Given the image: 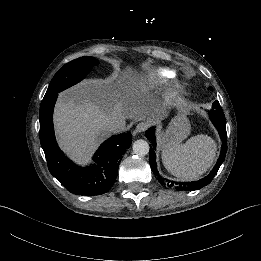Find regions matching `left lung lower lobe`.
<instances>
[{
  "label": "left lung lower lobe",
  "instance_id": "left-lung-lower-lobe-1",
  "mask_svg": "<svg viewBox=\"0 0 261 261\" xmlns=\"http://www.w3.org/2000/svg\"><path fill=\"white\" fill-rule=\"evenodd\" d=\"M209 117L212 123L215 125L217 128L219 135L225 140L227 138L226 134V119L224 112L219 104L218 101H215L212 104V109L209 111ZM146 137L148 140L151 141L150 145V153H149V163L151 166L152 171L154 174L157 176L160 182H168V185L170 183V186L177 185L180 189L182 190H187V191H193L197 189H201L204 186H207L214 178L216 173L218 172L219 167L223 163L225 159V154L227 152V144L223 141L222 147H221V152H220V157L217 160L216 165L212 169V171L209 173L208 176H206L203 179H200L196 182H174V181H169L165 178H163L158 170H157V164H156V138H155V127H152L148 129L145 132Z\"/></svg>",
  "mask_w": 261,
  "mask_h": 261
}]
</instances>
